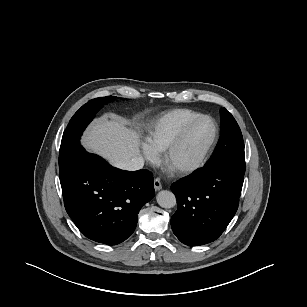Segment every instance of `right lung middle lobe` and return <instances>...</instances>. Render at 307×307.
Listing matches in <instances>:
<instances>
[{
	"label": "right lung middle lobe",
	"instance_id": "1",
	"mask_svg": "<svg viewBox=\"0 0 307 307\" xmlns=\"http://www.w3.org/2000/svg\"><path fill=\"white\" fill-rule=\"evenodd\" d=\"M115 98L114 96H107L90 100L73 115L63 133L59 152V169L65 166L82 147L80 137L98 110Z\"/></svg>",
	"mask_w": 307,
	"mask_h": 307
}]
</instances>
